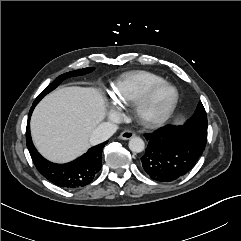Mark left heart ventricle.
Instances as JSON below:
<instances>
[{"label":"left heart ventricle","mask_w":241,"mask_h":241,"mask_svg":"<svg viewBox=\"0 0 241 241\" xmlns=\"http://www.w3.org/2000/svg\"><path fill=\"white\" fill-rule=\"evenodd\" d=\"M173 95V90L170 88H163L160 90L151 104L150 112L153 114H159L163 112L170 104Z\"/></svg>","instance_id":"left-heart-ventricle-1"}]
</instances>
